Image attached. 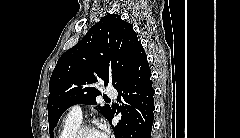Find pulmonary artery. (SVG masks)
Returning a JSON list of instances; mask_svg holds the SVG:
<instances>
[{
    "mask_svg": "<svg viewBox=\"0 0 240 138\" xmlns=\"http://www.w3.org/2000/svg\"><path fill=\"white\" fill-rule=\"evenodd\" d=\"M107 95L111 98L117 97V91L114 87H108L106 89ZM69 116L75 119L81 120L82 119V110L79 105H73L69 110Z\"/></svg>",
    "mask_w": 240,
    "mask_h": 138,
    "instance_id": "obj_1",
    "label": "pulmonary artery"
}]
</instances>
